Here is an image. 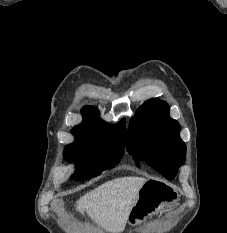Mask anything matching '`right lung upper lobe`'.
I'll return each mask as SVG.
<instances>
[{"mask_svg":"<svg viewBox=\"0 0 227 233\" xmlns=\"http://www.w3.org/2000/svg\"><path fill=\"white\" fill-rule=\"evenodd\" d=\"M83 122L72 129L76 142L95 144L109 138L119 139L123 146L126 140L125 120L112 126L99 118V111L93 106H85L82 111Z\"/></svg>","mask_w":227,"mask_h":233,"instance_id":"right-lung-upper-lobe-1","label":"right lung upper lobe"}]
</instances>
